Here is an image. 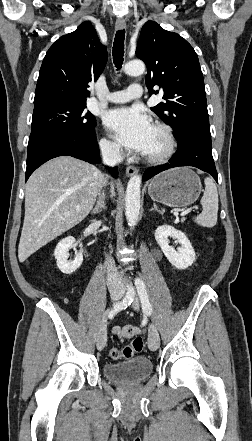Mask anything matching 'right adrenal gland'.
Returning <instances> with one entry per match:
<instances>
[{
    "label": "right adrenal gland",
    "mask_w": 252,
    "mask_h": 441,
    "mask_svg": "<svg viewBox=\"0 0 252 441\" xmlns=\"http://www.w3.org/2000/svg\"><path fill=\"white\" fill-rule=\"evenodd\" d=\"M106 208L107 207H106V203H105V195L102 194L99 197V200L97 201L96 206L92 210V213L93 214H98V213L102 212V210H105Z\"/></svg>",
    "instance_id": "right-adrenal-gland-1"
}]
</instances>
